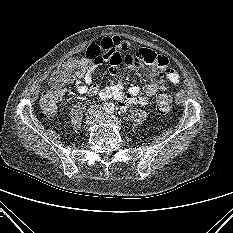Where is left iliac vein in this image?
<instances>
[{"instance_id":"left-iliac-vein-1","label":"left iliac vein","mask_w":233,"mask_h":233,"mask_svg":"<svg viewBox=\"0 0 233 233\" xmlns=\"http://www.w3.org/2000/svg\"><path fill=\"white\" fill-rule=\"evenodd\" d=\"M97 119H101V114H98V115H97Z\"/></svg>"}]
</instances>
